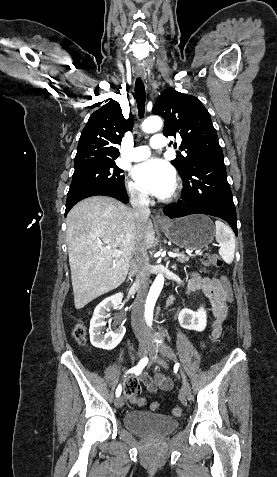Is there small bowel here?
Here are the masks:
<instances>
[{
    "mask_svg": "<svg viewBox=\"0 0 277 477\" xmlns=\"http://www.w3.org/2000/svg\"><path fill=\"white\" fill-rule=\"evenodd\" d=\"M188 289L191 292L202 290L207 296L213 314L211 340H217L221 334V323L227 312V303L225 301L226 296L223 291V285L218 279L201 277L198 274H194L189 280ZM139 380L150 392H156L158 390L168 391L173 385L172 380L161 373L155 374L154 377H151L146 373H141L139 375ZM129 381L135 382L139 386L140 391V385L135 379H130ZM144 403L145 400L143 399L142 404Z\"/></svg>",
    "mask_w": 277,
    "mask_h": 477,
    "instance_id": "1",
    "label": "small bowel"
}]
</instances>
